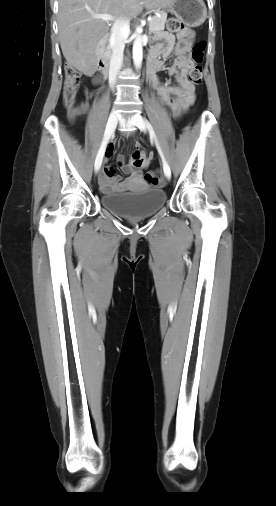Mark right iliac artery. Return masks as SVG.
I'll list each match as a JSON object with an SVG mask.
<instances>
[{"instance_id": "82829eb1", "label": "right iliac artery", "mask_w": 276, "mask_h": 506, "mask_svg": "<svg viewBox=\"0 0 276 506\" xmlns=\"http://www.w3.org/2000/svg\"><path fill=\"white\" fill-rule=\"evenodd\" d=\"M103 159V158H102ZM102 159L95 161V169H99L102 163Z\"/></svg>"}]
</instances>
